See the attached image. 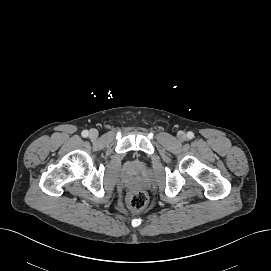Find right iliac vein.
<instances>
[{"instance_id":"1","label":"right iliac vein","mask_w":271,"mask_h":271,"mask_svg":"<svg viewBox=\"0 0 271 271\" xmlns=\"http://www.w3.org/2000/svg\"><path fill=\"white\" fill-rule=\"evenodd\" d=\"M89 137L91 139H96L98 137V131L96 129H91L89 132Z\"/></svg>"}]
</instances>
